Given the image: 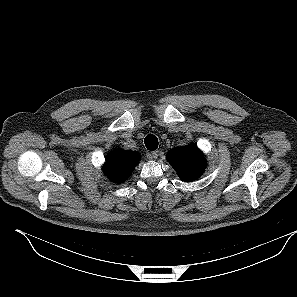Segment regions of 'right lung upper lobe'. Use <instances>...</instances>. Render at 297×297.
<instances>
[{
    "label": "right lung upper lobe",
    "instance_id": "1",
    "mask_svg": "<svg viewBox=\"0 0 297 297\" xmlns=\"http://www.w3.org/2000/svg\"><path fill=\"white\" fill-rule=\"evenodd\" d=\"M139 161L140 155L137 152L113 150L109 154L103 170L112 181L122 183L130 176Z\"/></svg>",
    "mask_w": 297,
    "mask_h": 297
}]
</instances>
